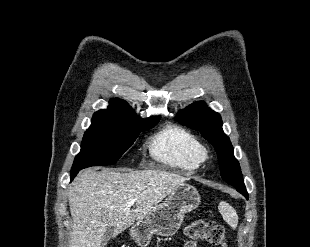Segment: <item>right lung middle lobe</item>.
Instances as JSON below:
<instances>
[{"mask_svg":"<svg viewBox=\"0 0 310 247\" xmlns=\"http://www.w3.org/2000/svg\"><path fill=\"white\" fill-rule=\"evenodd\" d=\"M160 117L147 122H133L108 117H93L85 132L81 151L75 157L71 171L90 166L112 165L134 143L141 131L154 127Z\"/></svg>","mask_w":310,"mask_h":247,"instance_id":"dd1d6c3e","label":"right lung middle lobe"}]
</instances>
